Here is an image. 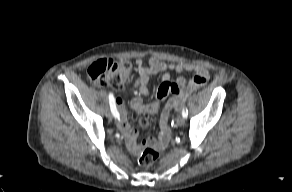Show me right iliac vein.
Returning a JSON list of instances; mask_svg holds the SVG:
<instances>
[{
  "mask_svg": "<svg viewBox=\"0 0 292 192\" xmlns=\"http://www.w3.org/2000/svg\"><path fill=\"white\" fill-rule=\"evenodd\" d=\"M105 115H106L107 118H111L112 117V113L108 109L106 110Z\"/></svg>",
  "mask_w": 292,
  "mask_h": 192,
  "instance_id": "1",
  "label": "right iliac vein"
}]
</instances>
